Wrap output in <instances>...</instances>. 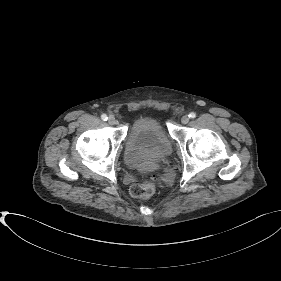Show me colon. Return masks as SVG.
Wrapping results in <instances>:
<instances>
[{"label": "colon", "instance_id": "colon-1", "mask_svg": "<svg viewBox=\"0 0 281 281\" xmlns=\"http://www.w3.org/2000/svg\"><path fill=\"white\" fill-rule=\"evenodd\" d=\"M157 179L158 178L147 179L142 184H136L131 186L130 188L131 197L134 199H142L152 194Z\"/></svg>", "mask_w": 281, "mask_h": 281}]
</instances>
